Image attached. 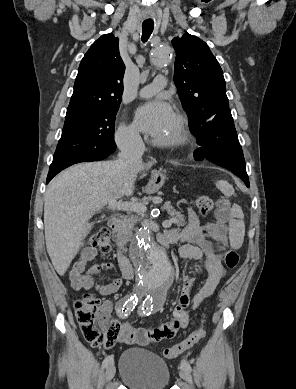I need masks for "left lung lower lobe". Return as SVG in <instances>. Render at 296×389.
<instances>
[{
  "mask_svg": "<svg viewBox=\"0 0 296 389\" xmlns=\"http://www.w3.org/2000/svg\"><path fill=\"white\" fill-rule=\"evenodd\" d=\"M194 151L196 161L208 160L232 171L250 187L243 151L230 110L216 114L201 126Z\"/></svg>",
  "mask_w": 296,
  "mask_h": 389,
  "instance_id": "obj_1",
  "label": "left lung lower lobe"
}]
</instances>
